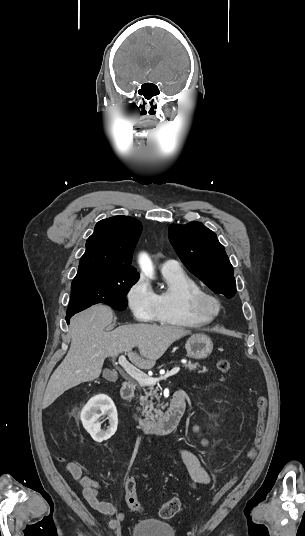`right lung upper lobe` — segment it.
<instances>
[{
  "label": "right lung upper lobe",
  "instance_id": "right-lung-upper-lobe-1",
  "mask_svg": "<svg viewBox=\"0 0 305 536\" xmlns=\"http://www.w3.org/2000/svg\"><path fill=\"white\" fill-rule=\"evenodd\" d=\"M141 230V222L129 216L99 221L86 242L76 277L139 276L131 258Z\"/></svg>",
  "mask_w": 305,
  "mask_h": 536
}]
</instances>
